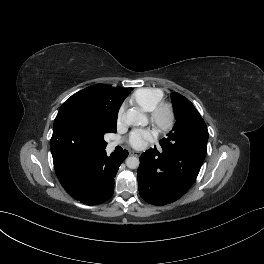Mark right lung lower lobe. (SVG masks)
I'll return each mask as SVG.
<instances>
[{
    "label": "right lung lower lobe",
    "instance_id": "1",
    "mask_svg": "<svg viewBox=\"0 0 264 264\" xmlns=\"http://www.w3.org/2000/svg\"><path fill=\"white\" fill-rule=\"evenodd\" d=\"M128 151L107 156L105 149L82 153L68 165L56 170L64 189L76 200L97 205L108 200L114 192V177Z\"/></svg>",
    "mask_w": 264,
    "mask_h": 264
}]
</instances>
